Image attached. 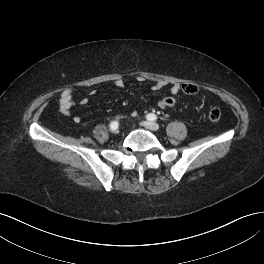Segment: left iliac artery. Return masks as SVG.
Segmentation results:
<instances>
[{
  "label": "left iliac artery",
  "mask_w": 264,
  "mask_h": 264,
  "mask_svg": "<svg viewBox=\"0 0 264 264\" xmlns=\"http://www.w3.org/2000/svg\"><path fill=\"white\" fill-rule=\"evenodd\" d=\"M146 118H147L148 120H150V121H155V120H157V116H156L155 114H153V113H149V114L146 116Z\"/></svg>",
  "instance_id": "1"
}]
</instances>
